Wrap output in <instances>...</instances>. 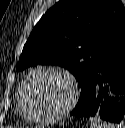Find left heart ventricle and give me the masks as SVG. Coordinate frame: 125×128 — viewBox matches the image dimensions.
I'll return each mask as SVG.
<instances>
[{
    "label": "left heart ventricle",
    "instance_id": "left-heart-ventricle-1",
    "mask_svg": "<svg viewBox=\"0 0 125 128\" xmlns=\"http://www.w3.org/2000/svg\"><path fill=\"white\" fill-rule=\"evenodd\" d=\"M70 92L68 82L60 75L40 72L25 88L26 106L34 114L54 113L66 104Z\"/></svg>",
    "mask_w": 125,
    "mask_h": 128
}]
</instances>
